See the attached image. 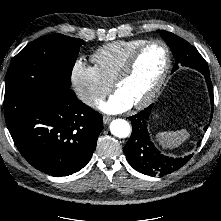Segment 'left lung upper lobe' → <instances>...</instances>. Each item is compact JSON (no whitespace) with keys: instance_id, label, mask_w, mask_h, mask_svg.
I'll return each mask as SVG.
<instances>
[{"instance_id":"1","label":"left lung upper lobe","mask_w":221,"mask_h":221,"mask_svg":"<svg viewBox=\"0 0 221 221\" xmlns=\"http://www.w3.org/2000/svg\"><path fill=\"white\" fill-rule=\"evenodd\" d=\"M158 32L161 33V37L170 46L176 59L173 71L178 69L180 64L182 66L194 68L203 74L209 73L206 61L195 47L173 33L164 30H159Z\"/></svg>"}]
</instances>
